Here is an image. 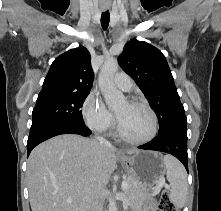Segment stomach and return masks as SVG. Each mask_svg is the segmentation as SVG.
I'll return each instance as SVG.
<instances>
[{
    "label": "stomach",
    "mask_w": 221,
    "mask_h": 211,
    "mask_svg": "<svg viewBox=\"0 0 221 211\" xmlns=\"http://www.w3.org/2000/svg\"><path fill=\"white\" fill-rule=\"evenodd\" d=\"M119 160L128 176L149 192L164 176L166 168L161 154L153 151H137L132 155H120Z\"/></svg>",
    "instance_id": "obj_1"
}]
</instances>
